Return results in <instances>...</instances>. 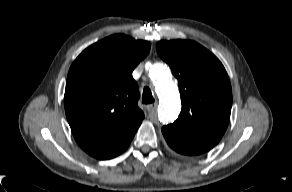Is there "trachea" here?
<instances>
[{
	"label": "trachea",
	"mask_w": 292,
	"mask_h": 192,
	"mask_svg": "<svg viewBox=\"0 0 292 192\" xmlns=\"http://www.w3.org/2000/svg\"><path fill=\"white\" fill-rule=\"evenodd\" d=\"M142 102L144 104H150L154 102V98L152 96L151 90L148 87H145L143 90Z\"/></svg>",
	"instance_id": "1"
}]
</instances>
